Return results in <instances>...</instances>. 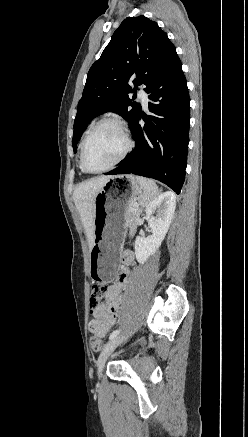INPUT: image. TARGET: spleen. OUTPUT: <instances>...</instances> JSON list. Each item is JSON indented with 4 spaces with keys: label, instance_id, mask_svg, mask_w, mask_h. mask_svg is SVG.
Instances as JSON below:
<instances>
[{
    "label": "spleen",
    "instance_id": "obj_1",
    "mask_svg": "<svg viewBox=\"0 0 248 437\" xmlns=\"http://www.w3.org/2000/svg\"><path fill=\"white\" fill-rule=\"evenodd\" d=\"M136 179L142 189L140 204L142 206H147L158 195V187L156 183L151 179L141 176H137Z\"/></svg>",
    "mask_w": 248,
    "mask_h": 437
}]
</instances>
